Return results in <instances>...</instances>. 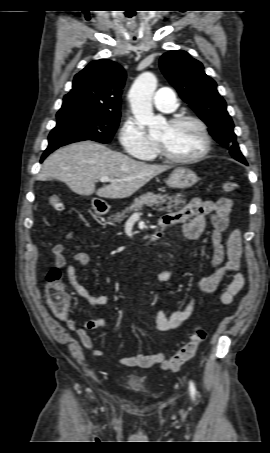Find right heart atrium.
Listing matches in <instances>:
<instances>
[{
	"label": "right heart atrium",
	"instance_id": "right-heart-atrium-1",
	"mask_svg": "<svg viewBox=\"0 0 270 453\" xmlns=\"http://www.w3.org/2000/svg\"><path fill=\"white\" fill-rule=\"evenodd\" d=\"M119 141L124 152L132 157L146 158L157 148L143 129L131 118L124 120L119 130Z\"/></svg>",
	"mask_w": 270,
	"mask_h": 453
}]
</instances>
